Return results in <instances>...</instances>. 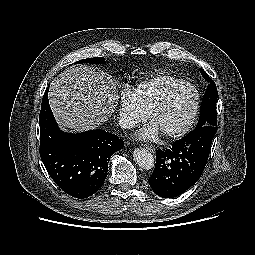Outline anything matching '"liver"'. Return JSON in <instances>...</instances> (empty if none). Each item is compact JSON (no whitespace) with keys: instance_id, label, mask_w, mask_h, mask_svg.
Instances as JSON below:
<instances>
[{"instance_id":"1","label":"liver","mask_w":255,"mask_h":255,"mask_svg":"<svg viewBox=\"0 0 255 255\" xmlns=\"http://www.w3.org/2000/svg\"><path fill=\"white\" fill-rule=\"evenodd\" d=\"M118 100L116 82L87 65L71 66L51 83L49 102L64 129L88 131L112 115Z\"/></svg>"}]
</instances>
